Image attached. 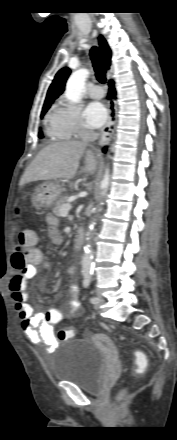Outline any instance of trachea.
<instances>
[{
    "mask_svg": "<svg viewBox=\"0 0 177 440\" xmlns=\"http://www.w3.org/2000/svg\"><path fill=\"white\" fill-rule=\"evenodd\" d=\"M90 58L93 63V67H94V71H95V75H96L97 80L100 83H105L106 82L105 63H104V60L100 54L99 49L96 46L91 48Z\"/></svg>",
    "mask_w": 177,
    "mask_h": 440,
    "instance_id": "1",
    "label": "trachea"
}]
</instances>
